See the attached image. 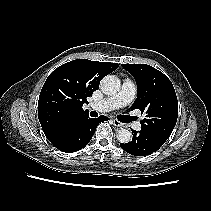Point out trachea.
<instances>
[{
  "label": "trachea",
  "mask_w": 211,
  "mask_h": 211,
  "mask_svg": "<svg viewBox=\"0 0 211 211\" xmlns=\"http://www.w3.org/2000/svg\"><path fill=\"white\" fill-rule=\"evenodd\" d=\"M91 114L93 115V111L91 112ZM133 119H134L133 117H129V116H118V120L124 123L130 122Z\"/></svg>",
  "instance_id": "trachea-1"
}]
</instances>
